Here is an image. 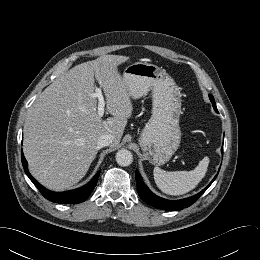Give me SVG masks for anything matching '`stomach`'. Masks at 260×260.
Instances as JSON below:
<instances>
[{"mask_svg": "<svg viewBox=\"0 0 260 260\" xmlns=\"http://www.w3.org/2000/svg\"><path fill=\"white\" fill-rule=\"evenodd\" d=\"M123 81L133 99L152 91V116L141 133L139 144L147 160L163 165L181 141L179 87L164 69L147 62H135L126 67Z\"/></svg>", "mask_w": 260, "mask_h": 260, "instance_id": "1", "label": "stomach"}]
</instances>
